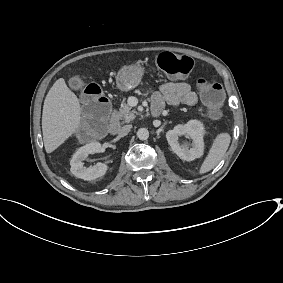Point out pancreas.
I'll return each instance as SVG.
<instances>
[{
    "instance_id": "cf45deb5",
    "label": "pancreas",
    "mask_w": 283,
    "mask_h": 283,
    "mask_svg": "<svg viewBox=\"0 0 283 283\" xmlns=\"http://www.w3.org/2000/svg\"><path fill=\"white\" fill-rule=\"evenodd\" d=\"M136 115H138V112L136 110H132L126 103L122 104L118 111L112 113L113 118L116 120H124L126 123L135 119Z\"/></svg>"
}]
</instances>
